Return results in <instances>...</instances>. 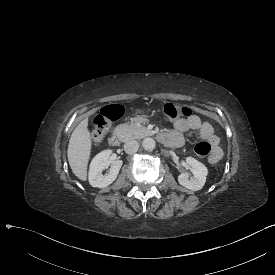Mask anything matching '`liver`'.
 <instances>
[{
	"label": "liver",
	"mask_w": 275,
	"mask_h": 275,
	"mask_svg": "<svg viewBox=\"0 0 275 275\" xmlns=\"http://www.w3.org/2000/svg\"><path fill=\"white\" fill-rule=\"evenodd\" d=\"M92 136L88 118H84L73 130L67 148V158L73 174L81 181L88 179V164L91 157Z\"/></svg>",
	"instance_id": "6515ba94"
}]
</instances>
